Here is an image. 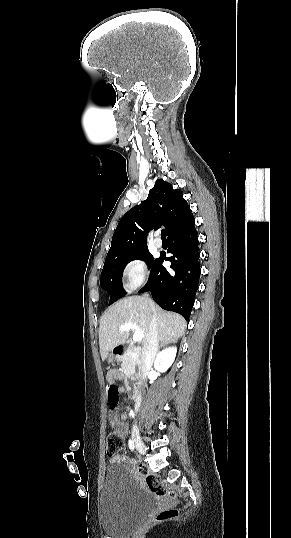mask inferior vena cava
Wrapping results in <instances>:
<instances>
[{"label": "inferior vena cava", "mask_w": 291, "mask_h": 538, "mask_svg": "<svg viewBox=\"0 0 291 538\" xmlns=\"http://www.w3.org/2000/svg\"><path fill=\"white\" fill-rule=\"evenodd\" d=\"M158 343H159L158 323H157L156 314L154 313L149 324V331L147 334L146 341L144 342L143 348H142V360L144 363L143 378L146 377L148 370L151 368L155 360V357L157 355V350H158ZM140 403H141V395H138L135 400V411L139 410Z\"/></svg>", "instance_id": "602c4592"}]
</instances>
